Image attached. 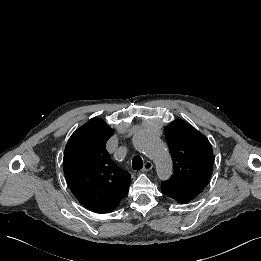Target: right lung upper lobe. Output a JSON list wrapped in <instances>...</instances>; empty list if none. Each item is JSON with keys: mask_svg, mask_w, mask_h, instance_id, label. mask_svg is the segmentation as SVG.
Returning a JSON list of instances; mask_svg holds the SVG:
<instances>
[{"mask_svg": "<svg viewBox=\"0 0 261 261\" xmlns=\"http://www.w3.org/2000/svg\"><path fill=\"white\" fill-rule=\"evenodd\" d=\"M113 133L102 119H91L72 134L63 159L74 196L88 210L100 214L113 211L130 185V174L111 160L105 147Z\"/></svg>", "mask_w": 261, "mask_h": 261, "instance_id": "right-lung-upper-lobe-1", "label": "right lung upper lobe"}]
</instances>
